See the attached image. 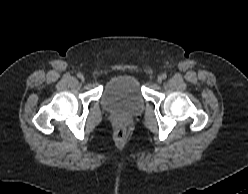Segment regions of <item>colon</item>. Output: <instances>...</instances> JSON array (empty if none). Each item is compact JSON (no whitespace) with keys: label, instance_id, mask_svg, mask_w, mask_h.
I'll return each mask as SVG.
<instances>
[{"label":"colon","instance_id":"1","mask_svg":"<svg viewBox=\"0 0 248 194\" xmlns=\"http://www.w3.org/2000/svg\"><path fill=\"white\" fill-rule=\"evenodd\" d=\"M125 129L122 126H118L115 131L117 140L122 141L125 138Z\"/></svg>","mask_w":248,"mask_h":194}]
</instances>
